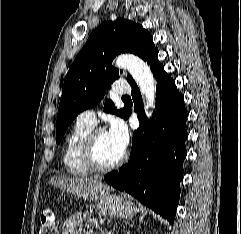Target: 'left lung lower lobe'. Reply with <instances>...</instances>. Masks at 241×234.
<instances>
[{"label": "left lung lower lobe", "mask_w": 241, "mask_h": 234, "mask_svg": "<svg viewBox=\"0 0 241 234\" xmlns=\"http://www.w3.org/2000/svg\"><path fill=\"white\" fill-rule=\"evenodd\" d=\"M147 63L157 81L156 109L148 120L140 90L135 81L131 82L134 111L138 114L140 126L133 133L128 164L105 175L104 180L173 223L187 153V111L175 81L158 61V50ZM131 112L129 109L127 118Z\"/></svg>", "instance_id": "1"}]
</instances>
